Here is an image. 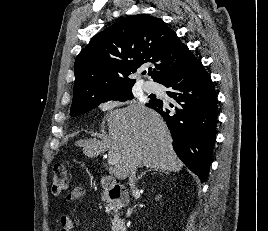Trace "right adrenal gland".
<instances>
[{
	"label": "right adrenal gland",
	"mask_w": 268,
	"mask_h": 231,
	"mask_svg": "<svg viewBox=\"0 0 268 231\" xmlns=\"http://www.w3.org/2000/svg\"><path fill=\"white\" fill-rule=\"evenodd\" d=\"M149 171L165 172V171H162V170H158V169H156V168H150V169H148V170L142 172V173L138 176L137 181L140 180V179H141L147 172H149Z\"/></svg>",
	"instance_id": "right-adrenal-gland-1"
}]
</instances>
